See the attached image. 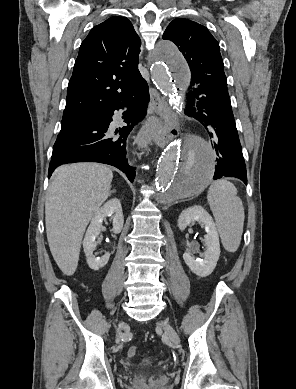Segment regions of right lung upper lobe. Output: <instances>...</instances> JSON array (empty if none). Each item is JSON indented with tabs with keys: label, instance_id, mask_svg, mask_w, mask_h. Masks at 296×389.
<instances>
[{
	"label": "right lung upper lobe",
	"instance_id": "cb5924a9",
	"mask_svg": "<svg viewBox=\"0 0 296 389\" xmlns=\"http://www.w3.org/2000/svg\"><path fill=\"white\" fill-rule=\"evenodd\" d=\"M140 45L125 17H111L95 26L80 46L63 119L91 117L121 104L141 75Z\"/></svg>",
	"mask_w": 296,
	"mask_h": 389
}]
</instances>
